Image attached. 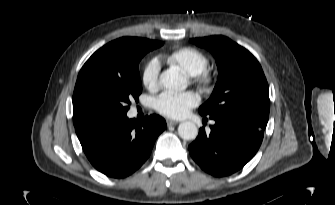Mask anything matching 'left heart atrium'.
Masks as SVG:
<instances>
[{"label":"left heart atrium","mask_w":335,"mask_h":205,"mask_svg":"<svg viewBox=\"0 0 335 205\" xmlns=\"http://www.w3.org/2000/svg\"><path fill=\"white\" fill-rule=\"evenodd\" d=\"M199 96L192 92L166 91L160 94L154 102L155 109L162 115L170 118H182L198 105Z\"/></svg>","instance_id":"obj_1"}]
</instances>
